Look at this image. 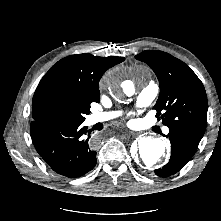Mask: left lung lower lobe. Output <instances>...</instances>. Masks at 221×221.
<instances>
[{"label": "left lung lower lobe", "mask_w": 221, "mask_h": 221, "mask_svg": "<svg viewBox=\"0 0 221 221\" xmlns=\"http://www.w3.org/2000/svg\"><path fill=\"white\" fill-rule=\"evenodd\" d=\"M168 137L171 141V157L169 162L155 170V174L165 178L177 173L193 157L202 136L193 132L171 128Z\"/></svg>", "instance_id": "1"}]
</instances>
